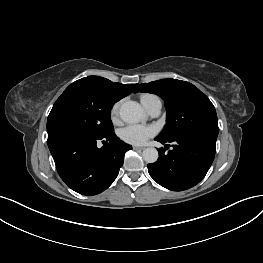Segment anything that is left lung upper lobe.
I'll return each instance as SVG.
<instances>
[{
    "instance_id": "left-lung-upper-lobe-1",
    "label": "left lung upper lobe",
    "mask_w": 263,
    "mask_h": 263,
    "mask_svg": "<svg viewBox=\"0 0 263 263\" xmlns=\"http://www.w3.org/2000/svg\"><path fill=\"white\" fill-rule=\"evenodd\" d=\"M135 92L153 93L164 100L167 124L157 138L167 141L188 135L217 138L219 128L215 108L209 98L193 84L162 79L142 83Z\"/></svg>"
}]
</instances>
